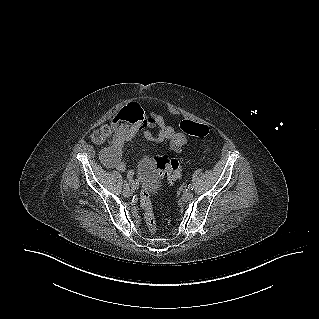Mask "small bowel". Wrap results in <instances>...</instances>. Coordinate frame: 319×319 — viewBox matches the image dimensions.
Instances as JSON below:
<instances>
[{"label": "small bowel", "instance_id": "1", "mask_svg": "<svg viewBox=\"0 0 319 319\" xmlns=\"http://www.w3.org/2000/svg\"><path fill=\"white\" fill-rule=\"evenodd\" d=\"M163 123L165 121L161 115L147 112L139 101H124L123 108L119 109L117 116L104 122L101 127V136L108 142L100 152L102 163L106 167L127 172L128 176H131L132 172L127 169L126 162L123 160L125 144L138 133H142L149 140L157 141L151 130H157ZM182 135L187 134L182 133ZM183 147L170 148L179 153Z\"/></svg>", "mask_w": 319, "mask_h": 319}]
</instances>
